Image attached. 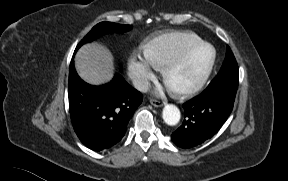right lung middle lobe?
<instances>
[{
  "label": "right lung middle lobe",
  "mask_w": 288,
  "mask_h": 181,
  "mask_svg": "<svg viewBox=\"0 0 288 181\" xmlns=\"http://www.w3.org/2000/svg\"><path fill=\"white\" fill-rule=\"evenodd\" d=\"M132 28L130 25H121L112 22H101L95 25L92 30L81 40L76 50L83 44L93 41L98 36L107 32H126Z\"/></svg>",
  "instance_id": "1"
}]
</instances>
